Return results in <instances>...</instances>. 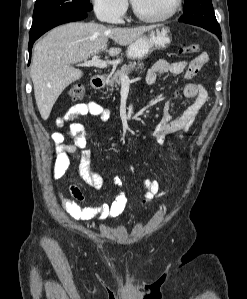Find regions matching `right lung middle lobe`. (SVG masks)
Masks as SVG:
<instances>
[{"instance_id":"right-lung-middle-lobe-1","label":"right lung middle lobe","mask_w":247,"mask_h":299,"mask_svg":"<svg viewBox=\"0 0 247 299\" xmlns=\"http://www.w3.org/2000/svg\"><path fill=\"white\" fill-rule=\"evenodd\" d=\"M92 9L89 0H36L30 34L64 15Z\"/></svg>"}]
</instances>
